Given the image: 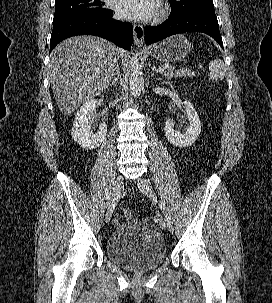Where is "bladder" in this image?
I'll return each mask as SVG.
<instances>
[{
    "label": "bladder",
    "instance_id": "bladder-1",
    "mask_svg": "<svg viewBox=\"0 0 272 303\" xmlns=\"http://www.w3.org/2000/svg\"><path fill=\"white\" fill-rule=\"evenodd\" d=\"M106 256L132 271H147L161 265L167 248L161 230L143 219H129L120 224L106 242Z\"/></svg>",
    "mask_w": 272,
    "mask_h": 303
}]
</instances>
